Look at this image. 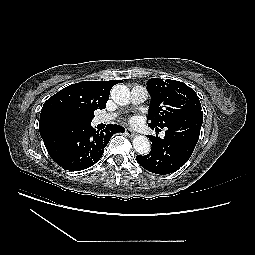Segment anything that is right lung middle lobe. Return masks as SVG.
Wrapping results in <instances>:
<instances>
[{"mask_svg": "<svg viewBox=\"0 0 255 255\" xmlns=\"http://www.w3.org/2000/svg\"><path fill=\"white\" fill-rule=\"evenodd\" d=\"M79 124L80 122H61L58 126L71 129L77 127Z\"/></svg>", "mask_w": 255, "mask_h": 255, "instance_id": "dd1d6c3e", "label": "right lung middle lobe"}]
</instances>
